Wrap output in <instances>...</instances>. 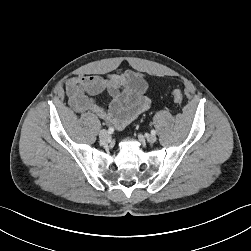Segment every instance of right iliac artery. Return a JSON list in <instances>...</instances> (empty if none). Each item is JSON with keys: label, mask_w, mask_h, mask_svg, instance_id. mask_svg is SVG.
<instances>
[{"label": "right iliac artery", "mask_w": 251, "mask_h": 251, "mask_svg": "<svg viewBox=\"0 0 251 251\" xmlns=\"http://www.w3.org/2000/svg\"><path fill=\"white\" fill-rule=\"evenodd\" d=\"M113 132H114V129H113L112 127H109L108 133H109V134H112Z\"/></svg>", "instance_id": "1"}]
</instances>
